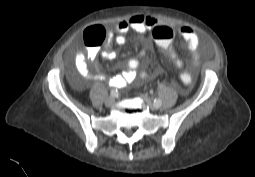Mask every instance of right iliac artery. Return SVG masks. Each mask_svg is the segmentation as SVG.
<instances>
[{"instance_id": "1", "label": "right iliac artery", "mask_w": 255, "mask_h": 177, "mask_svg": "<svg viewBox=\"0 0 255 177\" xmlns=\"http://www.w3.org/2000/svg\"><path fill=\"white\" fill-rule=\"evenodd\" d=\"M112 97H118V90L117 89H112L110 92Z\"/></svg>"}]
</instances>
